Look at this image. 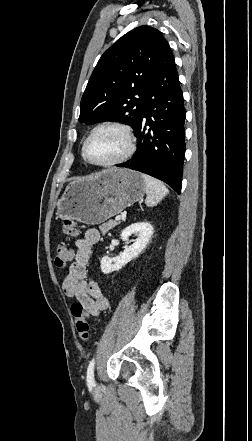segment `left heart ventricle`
I'll return each mask as SVG.
<instances>
[{
  "label": "left heart ventricle",
  "instance_id": "obj_1",
  "mask_svg": "<svg viewBox=\"0 0 252 441\" xmlns=\"http://www.w3.org/2000/svg\"><path fill=\"white\" fill-rule=\"evenodd\" d=\"M126 148L124 136L115 129L98 131L87 145V154L96 162H108L119 157Z\"/></svg>",
  "mask_w": 252,
  "mask_h": 441
}]
</instances>
